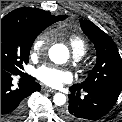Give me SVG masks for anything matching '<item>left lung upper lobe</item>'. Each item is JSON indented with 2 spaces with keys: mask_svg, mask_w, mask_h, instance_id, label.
I'll list each match as a JSON object with an SVG mask.
<instances>
[{
  "mask_svg": "<svg viewBox=\"0 0 122 122\" xmlns=\"http://www.w3.org/2000/svg\"><path fill=\"white\" fill-rule=\"evenodd\" d=\"M83 32L94 43L97 62L87 79L73 85L80 90L113 89L122 90V59L114 41L89 20L80 21Z\"/></svg>",
  "mask_w": 122,
  "mask_h": 122,
  "instance_id": "1",
  "label": "left lung upper lobe"
}]
</instances>
